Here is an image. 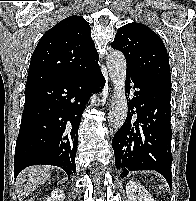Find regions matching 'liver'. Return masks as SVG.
<instances>
[{
	"mask_svg": "<svg viewBox=\"0 0 196 201\" xmlns=\"http://www.w3.org/2000/svg\"><path fill=\"white\" fill-rule=\"evenodd\" d=\"M50 178V167L35 165L22 170L16 180V191L20 201L46 183Z\"/></svg>",
	"mask_w": 196,
	"mask_h": 201,
	"instance_id": "liver-1",
	"label": "liver"
}]
</instances>
